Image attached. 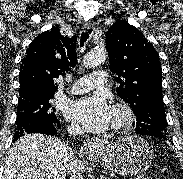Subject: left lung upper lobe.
Returning <instances> with one entry per match:
<instances>
[{"label": "left lung upper lobe", "instance_id": "obj_1", "mask_svg": "<svg viewBox=\"0 0 183 179\" xmlns=\"http://www.w3.org/2000/svg\"><path fill=\"white\" fill-rule=\"evenodd\" d=\"M110 71L118 95L129 103L137 117L138 134L168 137L162 99L160 58L144 35L126 21H116L106 34Z\"/></svg>", "mask_w": 183, "mask_h": 179}]
</instances>
